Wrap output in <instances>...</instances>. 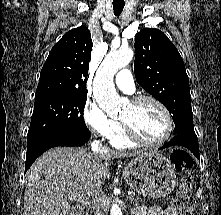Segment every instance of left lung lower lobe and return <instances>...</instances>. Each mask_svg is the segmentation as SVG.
I'll return each mask as SVG.
<instances>
[{
  "mask_svg": "<svg viewBox=\"0 0 221 215\" xmlns=\"http://www.w3.org/2000/svg\"><path fill=\"white\" fill-rule=\"evenodd\" d=\"M170 146H184L188 148L196 157H199L198 139L195 132L176 134L175 137H173L160 149H164Z\"/></svg>",
  "mask_w": 221,
  "mask_h": 215,
  "instance_id": "obj_1",
  "label": "left lung lower lobe"
}]
</instances>
